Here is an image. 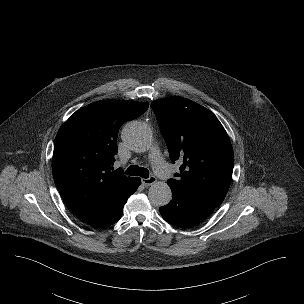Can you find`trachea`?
Masks as SVG:
<instances>
[{"instance_id":"3493384b","label":"trachea","mask_w":304,"mask_h":304,"mask_svg":"<svg viewBox=\"0 0 304 304\" xmlns=\"http://www.w3.org/2000/svg\"><path fill=\"white\" fill-rule=\"evenodd\" d=\"M126 174L130 176H140L142 178L149 177V171L146 168L139 167L138 165H131L128 167Z\"/></svg>"}]
</instances>
